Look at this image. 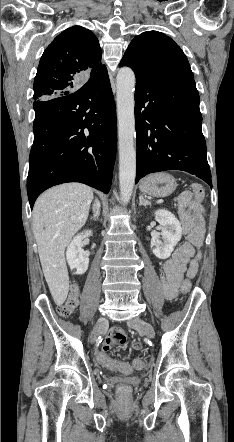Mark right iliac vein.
<instances>
[{
    "label": "right iliac vein",
    "instance_id": "right-iliac-vein-1",
    "mask_svg": "<svg viewBox=\"0 0 234 442\" xmlns=\"http://www.w3.org/2000/svg\"><path fill=\"white\" fill-rule=\"evenodd\" d=\"M106 325H107V319L104 317H100L92 331V342L95 341V339L98 337L100 332L106 327Z\"/></svg>",
    "mask_w": 234,
    "mask_h": 442
}]
</instances>
